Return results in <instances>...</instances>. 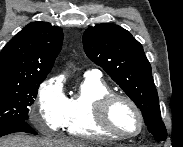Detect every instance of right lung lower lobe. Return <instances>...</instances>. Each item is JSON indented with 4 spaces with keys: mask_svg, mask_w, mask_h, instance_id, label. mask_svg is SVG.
Listing matches in <instances>:
<instances>
[{
    "mask_svg": "<svg viewBox=\"0 0 183 147\" xmlns=\"http://www.w3.org/2000/svg\"><path fill=\"white\" fill-rule=\"evenodd\" d=\"M15 132L37 134L26 121L12 122L0 126V137Z\"/></svg>",
    "mask_w": 183,
    "mask_h": 147,
    "instance_id": "1",
    "label": "right lung lower lobe"
}]
</instances>
